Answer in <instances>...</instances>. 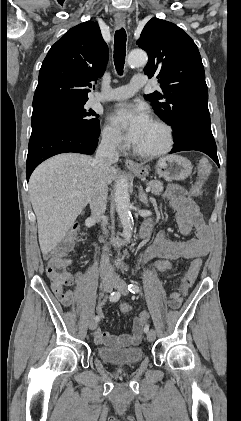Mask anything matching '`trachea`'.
I'll return each mask as SVG.
<instances>
[{"instance_id": "1", "label": "trachea", "mask_w": 241, "mask_h": 421, "mask_svg": "<svg viewBox=\"0 0 241 421\" xmlns=\"http://www.w3.org/2000/svg\"><path fill=\"white\" fill-rule=\"evenodd\" d=\"M126 56V31L121 28L114 37V64L119 75H122Z\"/></svg>"}]
</instances>
